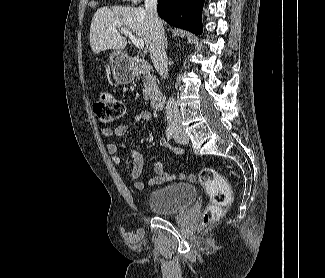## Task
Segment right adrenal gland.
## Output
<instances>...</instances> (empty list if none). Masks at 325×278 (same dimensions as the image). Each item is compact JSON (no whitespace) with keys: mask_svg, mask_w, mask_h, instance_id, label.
Segmentation results:
<instances>
[{"mask_svg":"<svg viewBox=\"0 0 325 278\" xmlns=\"http://www.w3.org/2000/svg\"><path fill=\"white\" fill-rule=\"evenodd\" d=\"M165 46H166V49L168 48V41H167V38H165Z\"/></svg>","mask_w":325,"mask_h":278,"instance_id":"right-adrenal-gland-1","label":"right adrenal gland"}]
</instances>
